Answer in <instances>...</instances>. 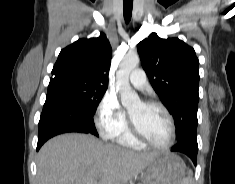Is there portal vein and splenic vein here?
Returning <instances> with one entry per match:
<instances>
[{"instance_id":"obj_1","label":"portal vein and splenic vein","mask_w":235,"mask_h":184,"mask_svg":"<svg viewBox=\"0 0 235 184\" xmlns=\"http://www.w3.org/2000/svg\"><path fill=\"white\" fill-rule=\"evenodd\" d=\"M91 184H100V182H94V180H92Z\"/></svg>"}]
</instances>
